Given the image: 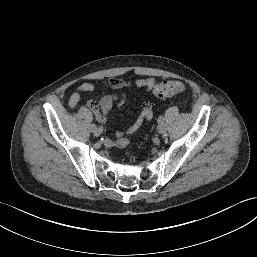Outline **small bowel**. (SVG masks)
Here are the masks:
<instances>
[{
  "mask_svg": "<svg viewBox=\"0 0 257 257\" xmlns=\"http://www.w3.org/2000/svg\"><path fill=\"white\" fill-rule=\"evenodd\" d=\"M108 84L113 90H121L131 86L128 81L115 78H110L108 80ZM134 86L139 89L151 91L156 86V80L151 77L138 79L135 81ZM95 89V84L91 82L82 83L70 96L68 101L69 106L71 108L75 107L79 103L82 94L95 91ZM126 98L127 95L125 92H117L115 94L105 95L100 101L89 100L86 105L92 112H94L99 123H106L109 119L113 104L117 103L118 105H122L126 101ZM152 117V105L149 102H143L141 105V113L136 121L125 132L118 133L114 139L107 138L106 143L110 146L117 147H124L128 145L129 139L127 136L138 131L143 123L150 121Z\"/></svg>",
  "mask_w": 257,
  "mask_h": 257,
  "instance_id": "1",
  "label": "small bowel"
}]
</instances>
